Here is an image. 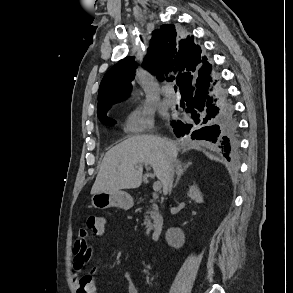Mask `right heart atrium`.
Wrapping results in <instances>:
<instances>
[{
	"label": "right heart atrium",
	"instance_id": "right-heart-atrium-1",
	"mask_svg": "<svg viewBox=\"0 0 293 293\" xmlns=\"http://www.w3.org/2000/svg\"><path fill=\"white\" fill-rule=\"evenodd\" d=\"M125 128L132 133L152 130L154 128V116L152 111L144 108L133 110L126 117Z\"/></svg>",
	"mask_w": 293,
	"mask_h": 293
}]
</instances>
